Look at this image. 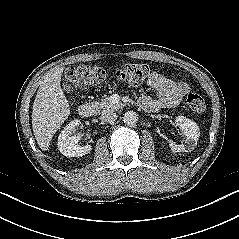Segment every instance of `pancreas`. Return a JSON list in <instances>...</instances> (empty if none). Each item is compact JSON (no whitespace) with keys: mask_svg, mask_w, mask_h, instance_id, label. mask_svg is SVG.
Here are the masks:
<instances>
[{"mask_svg":"<svg viewBox=\"0 0 239 239\" xmlns=\"http://www.w3.org/2000/svg\"><path fill=\"white\" fill-rule=\"evenodd\" d=\"M92 105L98 112H113L123 106L122 103L113 102L111 97H106L100 102H92Z\"/></svg>","mask_w":239,"mask_h":239,"instance_id":"cf45deb5","label":"pancreas"}]
</instances>
